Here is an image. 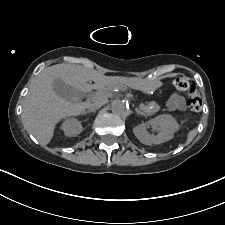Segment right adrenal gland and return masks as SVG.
Listing matches in <instances>:
<instances>
[{"instance_id": "1", "label": "right adrenal gland", "mask_w": 225, "mask_h": 225, "mask_svg": "<svg viewBox=\"0 0 225 225\" xmlns=\"http://www.w3.org/2000/svg\"><path fill=\"white\" fill-rule=\"evenodd\" d=\"M96 110H87L83 113V115L87 114V113H91V112H95Z\"/></svg>"}]
</instances>
